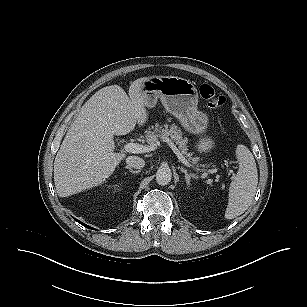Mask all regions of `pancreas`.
Wrapping results in <instances>:
<instances>
[{
	"instance_id": "obj_1",
	"label": "pancreas",
	"mask_w": 307,
	"mask_h": 307,
	"mask_svg": "<svg viewBox=\"0 0 307 307\" xmlns=\"http://www.w3.org/2000/svg\"><path fill=\"white\" fill-rule=\"evenodd\" d=\"M171 137V139L178 145L179 150L182 154H184L189 161L192 162V164H197L200 160L199 157H193L192 153H188V140L187 138H184L182 136L181 130L177 128L176 125L169 126L168 124H165L164 127L156 123L154 126L149 127L145 131V138L147 143L153 144L155 143L158 138L163 137Z\"/></svg>"
}]
</instances>
